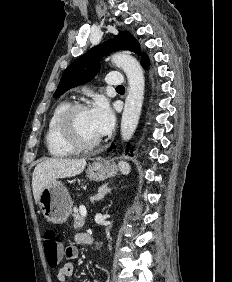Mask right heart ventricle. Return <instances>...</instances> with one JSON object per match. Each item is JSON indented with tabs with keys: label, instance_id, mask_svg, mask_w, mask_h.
I'll use <instances>...</instances> for the list:
<instances>
[{
	"label": "right heart ventricle",
	"instance_id": "e07e8e85",
	"mask_svg": "<svg viewBox=\"0 0 232 282\" xmlns=\"http://www.w3.org/2000/svg\"><path fill=\"white\" fill-rule=\"evenodd\" d=\"M70 104L69 101L58 103L48 120L45 143L49 154L53 157H67L76 151L61 139L58 128L60 117Z\"/></svg>",
	"mask_w": 232,
	"mask_h": 282
}]
</instances>
